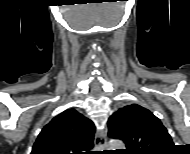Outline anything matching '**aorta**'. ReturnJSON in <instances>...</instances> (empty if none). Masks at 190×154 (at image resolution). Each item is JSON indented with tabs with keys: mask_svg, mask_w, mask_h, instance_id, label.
Listing matches in <instances>:
<instances>
[{
	"mask_svg": "<svg viewBox=\"0 0 190 154\" xmlns=\"http://www.w3.org/2000/svg\"><path fill=\"white\" fill-rule=\"evenodd\" d=\"M109 150L124 149L125 145L121 140L113 139L108 143Z\"/></svg>",
	"mask_w": 190,
	"mask_h": 154,
	"instance_id": "762f6f07",
	"label": "aorta"
}]
</instances>
